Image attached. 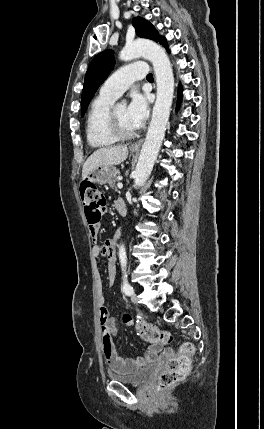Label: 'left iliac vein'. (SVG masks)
<instances>
[{
    "mask_svg": "<svg viewBox=\"0 0 264 429\" xmlns=\"http://www.w3.org/2000/svg\"><path fill=\"white\" fill-rule=\"evenodd\" d=\"M131 300H132V302H133L134 304H137V303H138V298H137V295H136L135 293H133V294L131 295Z\"/></svg>",
    "mask_w": 264,
    "mask_h": 429,
    "instance_id": "left-iliac-vein-1",
    "label": "left iliac vein"
}]
</instances>
